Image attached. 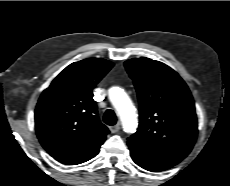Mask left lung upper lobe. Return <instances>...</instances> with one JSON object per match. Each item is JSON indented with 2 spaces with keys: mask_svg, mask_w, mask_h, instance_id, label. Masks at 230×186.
Listing matches in <instances>:
<instances>
[{
  "mask_svg": "<svg viewBox=\"0 0 230 186\" xmlns=\"http://www.w3.org/2000/svg\"><path fill=\"white\" fill-rule=\"evenodd\" d=\"M125 68L140 105L139 127L128 142L184 159L198 132L194 100L186 83L169 66L145 57L127 60Z\"/></svg>",
  "mask_w": 230,
  "mask_h": 186,
  "instance_id": "5c2ea615",
  "label": "left lung upper lobe"
}]
</instances>
